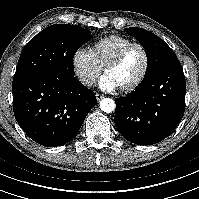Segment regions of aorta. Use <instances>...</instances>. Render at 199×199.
Returning <instances> with one entry per match:
<instances>
[{"mask_svg":"<svg viewBox=\"0 0 199 199\" xmlns=\"http://www.w3.org/2000/svg\"><path fill=\"white\" fill-rule=\"evenodd\" d=\"M100 108L103 112L111 113L115 110V102L110 98H104L100 101Z\"/></svg>","mask_w":199,"mask_h":199,"instance_id":"1","label":"aorta"}]
</instances>
